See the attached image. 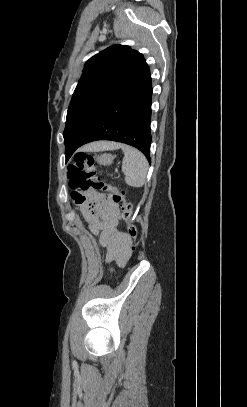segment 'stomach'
I'll use <instances>...</instances> for the list:
<instances>
[{
  "label": "stomach",
  "instance_id": "obj_1",
  "mask_svg": "<svg viewBox=\"0 0 247 407\" xmlns=\"http://www.w3.org/2000/svg\"><path fill=\"white\" fill-rule=\"evenodd\" d=\"M114 160L112 154L104 153L96 158L97 163L103 166L111 165Z\"/></svg>",
  "mask_w": 247,
  "mask_h": 407
}]
</instances>
